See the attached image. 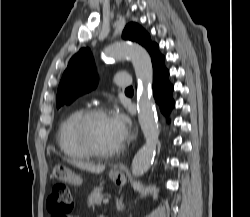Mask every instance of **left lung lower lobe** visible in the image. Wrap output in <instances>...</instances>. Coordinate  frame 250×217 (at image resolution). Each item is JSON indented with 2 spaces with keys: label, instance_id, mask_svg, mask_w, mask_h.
Wrapping results in <instances>:
<instances>
[{
  "label": "left lung lower lobe",
  "instance_id": "1",
  "mask_svg": "<svg viewBox=\"0 0 250 217\" xmlns=\"http://www.w3.org/2000/svg\"><path fill=\"white\" fill-rule=\"evenodd\" d=\"M154 75L153 95L162 113L168 115L175 102L172 98L173 86L168 80L169 71L164 66V56L159 52L158 45L151 52Z\"/></svg>",
  "mask_w": 250,
  "mask_h": 217
}]
</instances>
